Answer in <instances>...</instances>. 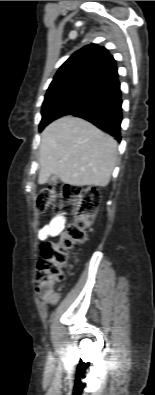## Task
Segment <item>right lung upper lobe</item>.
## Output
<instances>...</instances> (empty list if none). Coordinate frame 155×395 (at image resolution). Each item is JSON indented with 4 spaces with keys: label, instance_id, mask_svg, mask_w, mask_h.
Masks as SVG:
<instances>
[{
    "label": "right lung upper lobe",
    "instance_id": "cb5924a9",
    "mask_svg": "<svg viewBox=\"0 0 155 395\" xmlns=\"http://www.w3.org/2000/svg\"><path fill=\"white\" fill-rule=\"evenodd\" d=\"M116 77L118 71L113 56L105 47L90 44L69 57L57 71L50 87L70 82H85L103 88Z\"/></svg>",
    "mask_w": 155,
    "mask_h": 395
}]
</instances>
